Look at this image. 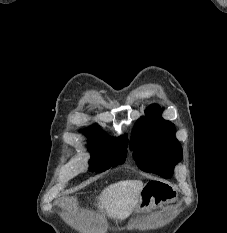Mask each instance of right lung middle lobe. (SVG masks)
I'll list each match as a JSON object with an SVG mask.
<instances>
[{"instance_id":"obj_1","label":"right lung middle lobe","mask_w":227,"mask_h":233,"mask_svg":"<svg viewBox=\"0 0 227 233\" xmlns=\"http://www.w3.org/2000/svg\"><path fill=\"white\" fill-rule=\"evenodd\" d=\"M91 159L89 167L92 171L103 172L125 161L127 149L117 139H108L95 145H89Z\"/></svg>"}]
</instances>
